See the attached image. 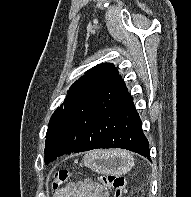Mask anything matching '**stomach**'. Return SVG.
<instances>
[{
  "label": "stomach",
  "mask_w": 191,
  "mask_h": 197,
  "mask_svg": "<svg viewBox=\"0 0 191 197\" xmlns=\"http://www.w3.org/2000/svg\"><path fill=\"white\" fill-rule=\"evenodd\" d=\"M82 164L99 174L120 176L130 171L133 161L123 151L96 150L87 153Z\"/></svg>",
  "instance_id": "0dacf381"
}]
</instances>
